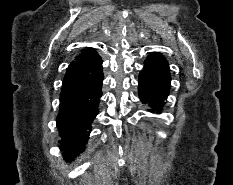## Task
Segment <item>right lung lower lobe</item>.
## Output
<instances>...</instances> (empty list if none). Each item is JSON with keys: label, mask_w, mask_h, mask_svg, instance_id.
Listing matches in <instances>:
<instances>
[{"label": "right lung lower lobe", "mask_w": 233, "mask_h": 185, "mask_svg": "<svg viewBox=\"0 0 233 185\" xmlns=\"http://www.w3.org/2000/svg\"><path fill=\"white\" fill-rule=\"evenodd\" d=\"M103 79L100 58L76 59L67 69L56 121L68 161L82 152L88 141L91 124L98 114Z\"/></svg>", "instance_id": "1"}]
</instances>
